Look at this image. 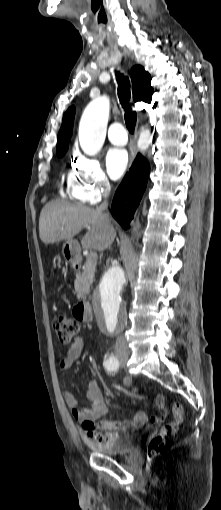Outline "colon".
<instances>
[{
    "mask_svg": "<svg viewBox=\"0 0 221 510\" xmlns=\"http://www.w3.org/2000/svg\"><path fill=\"white\" fill-rule=\"evenodd\" d=\"M52 327L53 330L56 332L59 341L63 344L71 343L79 330V325L76 320H73L68 316L62 314L56 315L53 318ZM117 389L121 392H126V390L121 386H117ZM138 397L142 398V396ZM170 410L172 412L173 419L170 422L166 423L161 428L160 432L156 436H154L148 444L147 453L149 458L155 457L164 449L165 440L176 434L180 424L183 421L184 415L183 406L179 402H174L171 405ZM165 417L166 416L164 415H160L161 420H164ZM97 437L98 440L96 441L101 442L103 436L101 434H98Z\"/></svg>",
    "mask_w": 221,
    "mask_h": 510,
    "instance_id": "5ec220e1",
    "label": "colon"
}]
</instances>
